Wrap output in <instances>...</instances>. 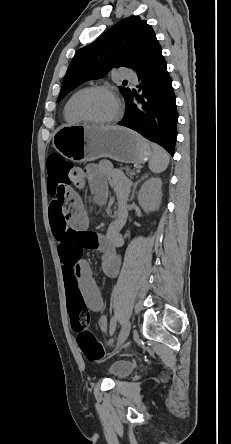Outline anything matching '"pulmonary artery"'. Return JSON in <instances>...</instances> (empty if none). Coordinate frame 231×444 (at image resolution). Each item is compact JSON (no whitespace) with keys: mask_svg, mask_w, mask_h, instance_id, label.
Here are the masks:
<instances>
[{"mask_svg":"<svg viewBox=\"0 0 231 444\" xmlns=\"http://www.w3.org/2000/svg\"><path fill=\"white\" fill-rule=\"evenodd\" d=\"M121 73H122V77L124 79L130 80L133 82L137 81L136 75H134L130 70L123 68V69H121Z\"/></svg>","mask_w":231,"mask_h":444,"instance_id":"e3ab8cb5","label":"pulmonary artery"}]
</instances>
